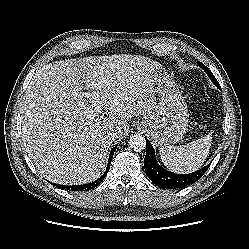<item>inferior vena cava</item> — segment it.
Masks as SVG:
<instances>
[{"label":"inferior vena cava","instance_id":"1","mask_svg":"<svg viewBox=\"0 0 249 249\" xmlns=\"http://www.w3.org/2000/svg\"><path fill=\"white\" fill-rule=\"evenodd\" d=\"M117 134H118V130L116 129H113L111 130L109 133H108V136L115 139L117 137Z\"/></svg>","mask_w":249,"mask_h":249}]
</instances>
